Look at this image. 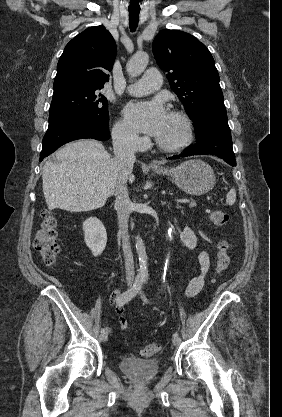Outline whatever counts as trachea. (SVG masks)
<instances>
[{
	"instance_id": "trachea-1",
	"label": "trachea",
	"mask_w": 282,
	"mask_h": 417,
	"mask_svg": "<svg viewBox=\"0 0 282 417\" xmlns=\"http://www.w3.org/2000/svg\"><path fill=\"white\" fill-rule=\"evenodd\" d=\"M140 10H129V26L131 32H135L139 22Z\"/></svg>"
}]
</instances>
